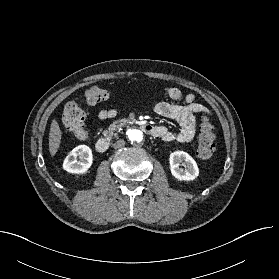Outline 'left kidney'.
I'll list each match as a JSON object with an SVG mask.
<instances>
[{
  "instance_id": "1",
  "label": "left kidney",
  "mask_w": 279,
  "mask_h": 279,
  "mask_svg": "<svg viewBox=\"0 0 279 279\" xmlns=\"http://www.w3.org/2000/svg\"><path fill=\"white\" fill-rule=\"evenodd\" d=\"M184 162L185 169L180 168ZM171 174L180 181H191L198 177L199 169L195 160L184 151H175L169 157Z\"/></svg>"
}]
</instances>
